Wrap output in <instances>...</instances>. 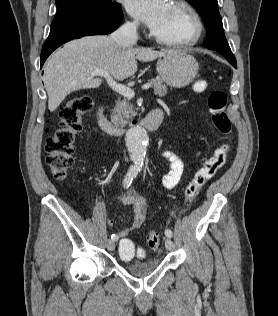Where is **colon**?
Wrapping results in <instances>:
<instances>
[{
	"mask_svg": "<svg viewBox=\"0 0 278 316\" xmlns=\"http://www.w3.org/2000/svg\"><path fill=\"white\" fill-rule=\"evenodd\" d=\"M207 87L204 80L194 83L193 89L196 92H203ZM207 105L211 119L216 130L224 137L231 132V122L226 114L227 96L225 92L216 90L210 93ZM92 108V100L88 96L78 97L67 105L60 112V124L56 132L46 140L45 151L46 161L53 177L58 181L66 179L68 170L74 163V144L77 134L82 129V117ZM229 145H219L212 155L204 160L202 166L196 171L186 186L184 199L186 204H191L199 195L205 184L221 169L227 160ZM149 250L155 251L159 247V235L150 232L147 236ZM119 254L123 259H131L134 255L144 257L146 252L136 249L130 239H122L119 243Z\"/></svg>",
	"mask_w": 278,
	"mask_h": 316,
	"instance_id": "obj_1",
	"label": "colon"
}]
</instances>
